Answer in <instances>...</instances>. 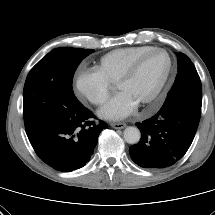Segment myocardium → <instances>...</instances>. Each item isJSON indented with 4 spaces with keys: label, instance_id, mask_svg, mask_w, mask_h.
Wrapping results in <instances>:
<instances>
[{
    "label": "myocardium",
    "instance_id": "obj_1",
    "mask_svg": "<svg viewBox=\"0 0 215 215\" xmlns=\"http://www.w3.org/2000/svg\"><path fill=\"white\" fill-rule=\"evenodd\" d=\"M158 52L164 53L168 57V61H169L168 68L163 79L161 80V82L159 83L155 91L148 99H146L142 103V105H148L154 102L159 97V95L161 94V92L163 91V89L165 88L169 80V77L173 69V59L171 54L167 50L163 48H152L146 51L145 53L141 54L139 57H137L134 61L131 62V64L126 68V70L122 73V75L119 77V79L116 82V87L118 88L121 84L130 80L134 76V74L136 73L137 69L142 64V62L151 54L158 53Z\"/></svg>",
    "mask_w": 215,
    "mask_h": 215
}]
</instances>
